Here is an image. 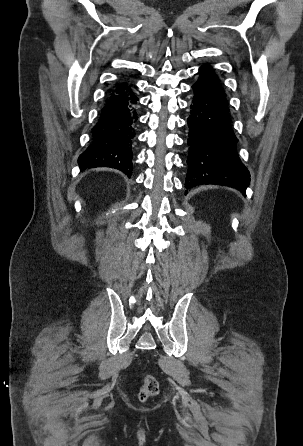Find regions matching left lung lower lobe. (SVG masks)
<instances>
[{"instance_id":"left-lung-lower-lobe-1","label":"left lung lower lobe","mask_w":303,"mask_h":446,"mask_svg":"<svg viewBox=\"0 0 303 446\" xmlns=\"http://www.w3.org/2000/svg\"><path fill=\"white\" fill-rule=\"evenodd\" d=\"M204 68L199 69V78L192 86L195 96L187 120L190 130L185 187L216 184L245 195L250 174L238 157L226 94L213 69L208 64Z\"/></svg>"}]
</instances>
